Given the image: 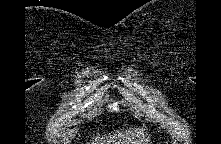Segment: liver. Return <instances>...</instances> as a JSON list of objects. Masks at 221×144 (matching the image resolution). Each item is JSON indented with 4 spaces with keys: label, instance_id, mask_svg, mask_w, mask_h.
Masks as SVG:
<instances>
[{
    "label": "liver",
    "instance_id": "liver-1",
    "mask_svg": "<svg viewBox=\"0 0 221 144\" xmlns=\"http://www.w3.org/2000/svg\"><path fill=\"white\" fill-rule=\"evenodd\" d=\"M108 138L113 144H148L149 137L146 136L144 130L134 131H116L112 136L109 134ZM105 140L99 136L95 137L93 144H103Z\"/></svg>",
    "mask_w": 221,
    "mask_h": 144
}]
</instances>
